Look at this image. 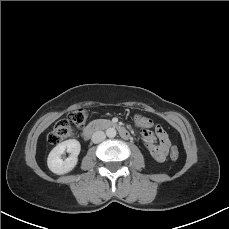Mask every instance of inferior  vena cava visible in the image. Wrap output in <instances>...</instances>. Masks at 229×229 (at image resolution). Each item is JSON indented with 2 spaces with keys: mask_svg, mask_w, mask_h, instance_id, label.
<instances>
[{
  "mask_svg": "<svg viewBox=\"0 0 229 229\" xmlns=\"http://www.w3.org/2000/svg\"><path fill=\"white\" fill-rule=\"evenodd\" d=\"M106 138V135L103 131H96L92 135V142L97 144L103 141Z\"/></svg>",
  "mask_w": 229,
  "mask_h": 229,
  "instance_id": "inferior-vena-cava-1",
  "label": "inferior vena cava"
}]
</instances>
